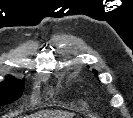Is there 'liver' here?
Masks as SVG:
<instances>
[{"mask_svg": "<svg viewBox=\"0 0 133 118\" xmlns=\"http://www.w3.org/2000/svg\"><path fill=\"white\" fill-rule=\"evenodd\" d=\"M48 116H59V118H71L73 114L63 113L59 115H53V114H50V112H38L32 115H29L26 118H48Z\"/></svg>", "mask_w": 133, "mask_h": 118, "instance_id": "1", "label": "liver"}]
</instances>
